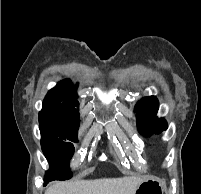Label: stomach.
<instances>
[{
    "instance_id": "0dacf381",
    "label": "stomach",
    "mask_w": 201,
    "mask_h": 194,
    "mask_svg": "<svg viewBox=\"0 0 201 194\" xmlns=\"http://www.w3.org/2000/svg\"><path fill=\"white\" fill-rule=\"evenodd\" d=\"M134 194H163V186L158 178L149 177L140 183Z\"/></svg>"
}]
</instances>
